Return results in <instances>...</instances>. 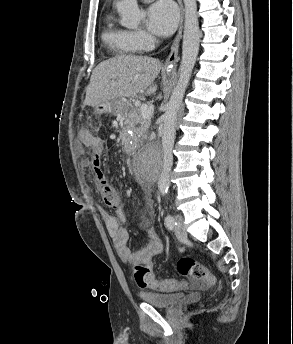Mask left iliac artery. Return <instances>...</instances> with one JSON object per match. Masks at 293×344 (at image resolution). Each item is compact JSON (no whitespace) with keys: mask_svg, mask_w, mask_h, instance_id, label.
<instances>
[{"mask_svg":"<svg viewBox=\"0 0 293 344\" xmlns=\"http://www.w3.org/2000/svg\"><path fill=\"white\" fill-rule=\"evenodd\" d=\"M165 225L169 230H172L174 228V226L176 225V222H175L173 216L168 214L165 217Z\"/></svg>","mask_w":293,"mask_h":344,"instance_id":"left-iliac-artery-1","label":"left iliac artery"}]
</instances>
